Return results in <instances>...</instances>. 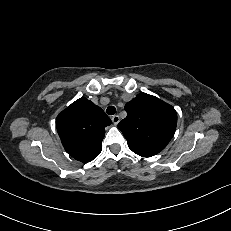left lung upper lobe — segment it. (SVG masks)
<instances>
[{
    "instance_id": "1",
    "label": "left lung upper lobe",
    "mask_w": 231,
    "mask_h": 231,
    "mask_svg": "<svg viewBox=\"0 0 231 231\" xmlns=\"http://www.w3.org/2000/svg\"><path fill=\"white\" fill-rule=\"evenodd\" d=\"M125 110L127 117L118 127L129 148L142 157L162 151L175 133V109L155 96L140 93L125 105Z\"/></svg>"
}]
</instances>
